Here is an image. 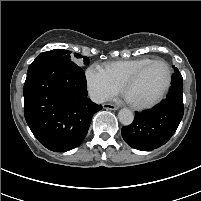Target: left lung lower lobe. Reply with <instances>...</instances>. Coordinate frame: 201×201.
<instances>
[{"label":"left lung lower lobe","instance_id":"0a47b994","mask_svg":"<svg viewBox=\"0 0 201 201\" xmlns=\"http://www.w3.org/2000/svg\"><path fill=\"white\" fill-rule=\"evenodd\" d=\"M182 81V75L175 68L166 99L151 110L136 112L132 124L122 128V137L129 146L151 151L172 137L184 113Z\"/></svg>","mask_w":201,"mask_h":201}]
</instances>
